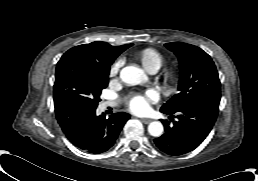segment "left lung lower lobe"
<instances>
[{"label":"left lung lower lobe","instance_id":"obj_1","mask_svg":"<svg viewBox=\"0 0 258 181\" xmlns=\"http://www.w3.org/2000/svg\"><path fill=\"white\" fill-rule=\"evenodd\" d=\"M219 107L214 104H198L175 112L173 126L162 120L165 133L154 139L156 146L169 155L178 156L197 148L211 131ZM174 117V113L164 112Z\"/></svg>","mask_w":258,"mask_h":181}]
</instances>
